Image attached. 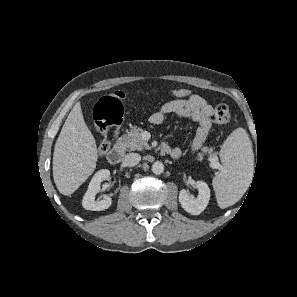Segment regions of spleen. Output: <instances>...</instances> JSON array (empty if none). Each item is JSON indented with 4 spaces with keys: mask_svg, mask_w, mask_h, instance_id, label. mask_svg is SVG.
Returning a JSON list of instances; mask_svg holds the SVG:
<instances>
[{
    "mask_svg": "<svg viewBox=\"0 0 297 297\" xmlns=\"http://www.w3.org/2000/svg\"><path fill=\"white\" fill-rule=\"evenodd\" d=\"M220 157L222 167L213 179L218 199L238 201L252 177L254 154L252 142L243 128L234 130L224 142Z\"/></svg>",
    "mask_w": 297,
    "mask_h": 297,
    "instance_id": "3e777b00",
    "label": "spleen"
}]
</instances>
